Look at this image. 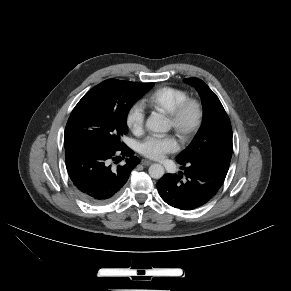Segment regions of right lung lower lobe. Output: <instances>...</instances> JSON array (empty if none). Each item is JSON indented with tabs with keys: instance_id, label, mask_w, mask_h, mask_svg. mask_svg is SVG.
I'll list each match as a JSON object with an SVG mask.
<instances>
[{
	"instance_id": "right-lung-lower-lobe-1",
	"label": "right lung lower lobe",
	"mask_w": 291,
	"mask_h": 291,
	"mask_svg": "<svg viewBox=\"0 0 291 291\" xmlns=\"http://www.w3.org/2000/svg\"><path fill=\"white\" fill-rule=\"evenodd\" d=\"M128 156L124 165L113 167L117 154ZM127 146L104 147L79 143L65 148L66 168L79 196L90 204H104L118 196L131 170L140 160Z\"/></svg>"
}]
</instances>
